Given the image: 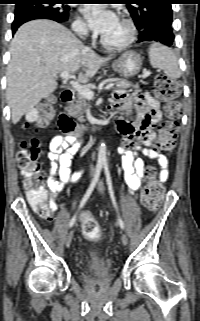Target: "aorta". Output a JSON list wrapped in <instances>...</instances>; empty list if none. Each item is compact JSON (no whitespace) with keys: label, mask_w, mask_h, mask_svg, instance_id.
Returning a JSON list of instances; mask_svg holds the SVG:
<instances>
[{"label":"aorta","mask_w":200,"mask_h":321,"mask_svg":"<svg viewBox=\"0 0 200 321\" xmlns=\"http://www.w3.org/2000/svg\"><path fill=\"white\" fill-rule=\"evenodd\" d=\"M106 161V146L104 143H101L98 149V163L105 164Z\"/></svg>","instance_id":"762f6f07"}]
</instances>
